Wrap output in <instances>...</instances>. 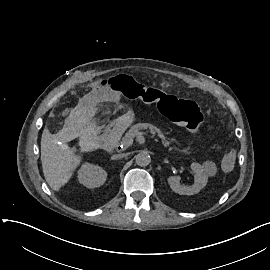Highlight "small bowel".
<instances>
[{
	"mask_svg": "<svg viewBox=\"0 0 270 270\" xmlns=\"http://www.w3.org/2000/svg\"><path fill=\"white\" fill-rule=\"evenodd\" d=\"M97 92L100 93L104 98H107L111 101H116L119 99L117 94L111 92L109 89L106 88H98Z\"/></svg>",
	"mask_w": 270,
	"mask_h": 270,
	"instance_id": "c3829d8e",
	"label": "small bowel"
}]
</instances>
